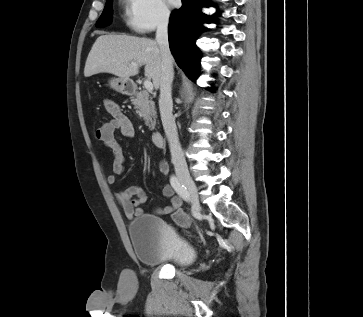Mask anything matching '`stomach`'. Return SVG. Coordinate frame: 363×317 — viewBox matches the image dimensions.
<instances>
[{
    "instance_id": "stomach-1",
    "label": "stomach",
    "mask_w": 363,
    "mask_h": 317,
    "mask_svg": "<svg viewBox=\"0 0 363 317\" xmlns=\"http://www.w3.org/2000/svg\"><path fill=\"white\" fill-rule=\"evenodd\" d=\"M109 86L115 91L122 94H130L132 92V83L129 79L123 78H111L109 80Z\"/></svg>"
}]
</instances>
